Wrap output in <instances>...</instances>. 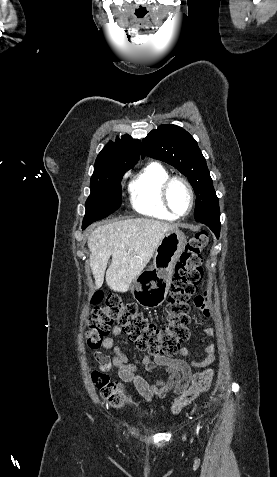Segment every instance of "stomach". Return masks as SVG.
I'll list each match as a JSON object with an SVG mask.
<instances>
[{
    "label": "stomach",
    "mask_w": 277,
    "mask_h": 477,
    "mask_svg": "<svg viewBox=\"0 0 277 477\" xmlns=\"http://www.w3.org/2000/svg\"><path fill=\"white\" fill-rule=\"evenodd\" d=\"M186 244V236L178 229L170 230L162 237L154 253L153 265L142 271L130 286L139 305L156 308L165 301L174 266Z\"/></svg>",
    "instance_id": "1"
}]
</instances>
